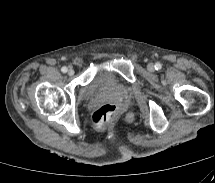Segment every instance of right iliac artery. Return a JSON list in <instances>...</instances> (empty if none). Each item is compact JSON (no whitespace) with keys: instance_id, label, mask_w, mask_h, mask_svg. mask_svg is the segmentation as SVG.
Listing matches in <instances>:
<instances>
[{"instance_id":"obj_1","label":"right iliac artery","mask_w":215,"mask_h":183,"mask_svg":"<svg viewBox=\"0 0 215 183\" xmlns=\"http://www.w3.org/2000/svg\"><path fill=\"white\" fill-rule=\"evenodd\" d=\"M61 71H62L63 73H66V72H67V67H62Z\"/></svg>"}]
</instances>
